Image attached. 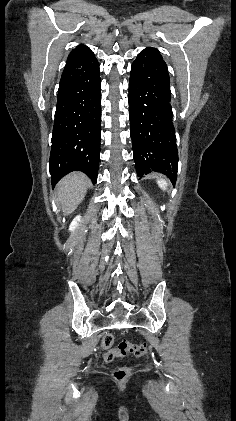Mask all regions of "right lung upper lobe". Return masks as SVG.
I'll return each mask as SVG.
<instances>
[{"mask_svg": "<svg viewBox=\"0 0 236 421\" xmlns=\"http://www.w3.org/2000/svg\"><path fill=\"white\" fill-rule=\"evenodd\" d=\"M90 55H93V52L87 46L79 45L70 52L66 63H69L74 60H77L86 56H90Z\"/></svg>", "mask_w": 236, "mask_h": 421, "instance_id": "cb5924a9", "label": "right lung upper lobe"}]
</instances>
